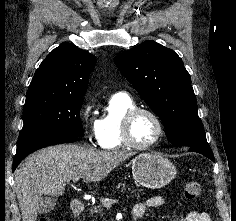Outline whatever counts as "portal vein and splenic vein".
Listing matches in <instances>:
<instances>
[{"mask_svg":"<svg viewBox=\"0 0 236 221\" xmlns=\"http://www.w3.org/2000/svg\"><path fill=\"white\" fill-rule=\"evenodd\" d=\"M79 180V178H74L73 179V182L76 183L77 181ZM119 200L118 199H111V198H104L101 200V203L106 206V207H109L111 206L112 204L114 203H117Z\"/></svg>","mask_w":236,"mask_h":221,"instance_id":"obj_1","label":"portal vein and splenic vein"}]
</instances>
